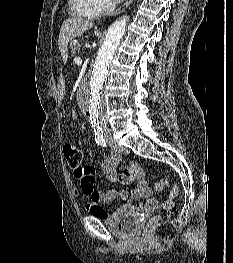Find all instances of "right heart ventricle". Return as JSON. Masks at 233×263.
Masks as SVG:
<instances>
[{"label":"right heart ventricle","mask_w":233,"mask_h":263,"mask_svg":"<svg viewBox=\"0 0 233 263\" xmlns=\"http://www.w3.org/2000/svg\"><path fill=\"white\" fill-rule=\"evenodd\" d=\"M73 12L83 18L92 19L99 15L94 0H71Z\"/></svg>","instance_id":"1"}]
</instances>
